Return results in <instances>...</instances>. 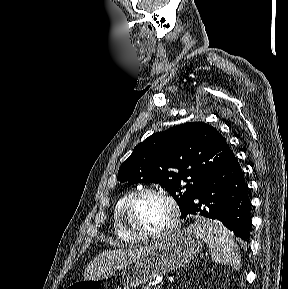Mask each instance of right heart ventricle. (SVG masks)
<instances>
[{
	"label": "right heart ventricle",
	"mask_w": 288,
	"mask_h": 289,
	"mask_svg": "<svg viewBox=\"0 0 288 289\" xmlns=\"http://www.w3.org/2000/svg\"><path fill=\"white\" fill-rule=\"evenodd\" d=\"M133 190H128L122 193L117 201L115 202L113 209H112V225L113 230L116 235V237L121 240L124 243L132 244L136 243L137 239L130 236L121 226L120 220H119V210L122 206V204L126 201V199L133 193Z\"/></svg>",
	"instance_id": "e07e8e85"
}]
</instances>
